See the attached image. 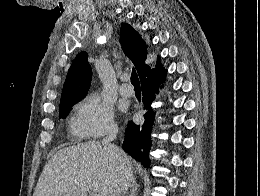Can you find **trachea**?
I'll return each mask as SVG.
<instances>
[{"label":"trachea","instance_id":"3493384b","mask_svg":"<svg viewBox=\"0 0 260 196\" xmlns=\"http://www.w3.org/2000/svg\"><path fill=\"white\" fill-rule=\"evenodd\" d=\"M130 79L133 86H139V87L141 86L135 68L132 69V74Z\"/></svg>","mask_w":260,"mask_h":196}]
</instances>
